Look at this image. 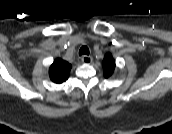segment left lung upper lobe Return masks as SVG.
Masks as SVG:
<instances>
[{
    "label": "left lung upper lobe",
    "instance_id": "1",
    "mask_svg": "<svg viewBox=\"0 0 172 134\" xmlns=\"http://www.w3.org/2000/svg\"><path fill=\"white\" fill-rule=\"evenodd\" d=\"M102 65L104 69V77H111L115 70V60L110 53L105 55Z\"/></svg>",
    "mask_w": 172,
    "mask_h": 134
}]
</instances>
